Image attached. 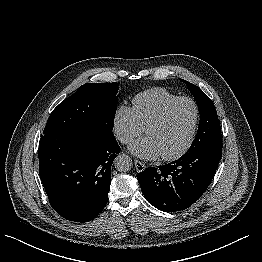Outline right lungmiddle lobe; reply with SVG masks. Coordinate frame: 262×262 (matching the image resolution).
I'll use <instances>...</instances> for the list:
<instances>
[{"instance_id": "right-lung-middle-lobe-1", "label": "right lung middle lobe", "mask_w": 262, "mask_h": 262, "mask_svg": "<svg viewBox=\"0 0 262 262\" xmlns=\"http://www.w3.org/2000/svg\"><path fill=\"white\" fill-rule=\"evenodd\" d=\"M118 84L86 83L50 114L43 135L57 132L113 134Z\"/></svg>"}]
</instances>
